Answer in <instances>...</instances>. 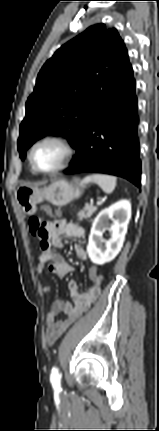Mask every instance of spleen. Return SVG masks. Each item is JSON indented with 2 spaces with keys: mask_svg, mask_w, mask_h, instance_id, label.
I'll return each mask as SVG.
<instances>
[{
  "mask_svg": "<svg viewBox=\"0 0 159 431\" xmlns=\"http://www.w3.org/2000/svg\"><path fill=\"white\" fill-rule=\"evenodd\" d=\"M116 177L105 174H93L85 177L83 183L93 182L100 186L106 193H112L116 187Z\"/></svg>",
  "mask_w": 159,
  "mask_h": 431,
  "instance_id": "1",
  "label": "spleen"
}]
</instances>
